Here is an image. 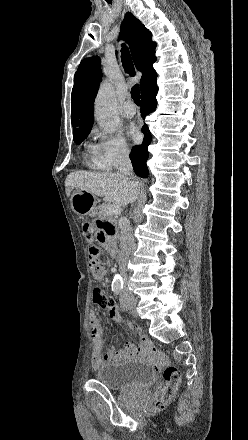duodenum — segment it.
<instances>
[{"instance_id": "1", "label": "duodenum", "mask_w": 248, "mask_h": 440, "mask_svg": "<svg viewBox=\"0 0 248 440\" xmlns=\"http://www.w3.org/2000/svg\"><path fill=\"white\" fill-rule=\"evenodd\" d=\"M109 253L112 257H115L118 254V248L116 245L109 247Z\"/></svg>"}]
</instances>
